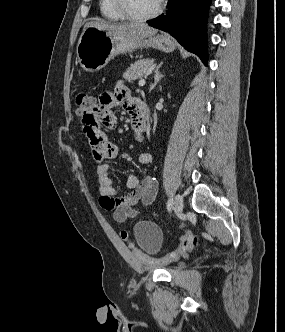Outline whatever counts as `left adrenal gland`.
<instances>
[{"instance_id":"left-adrenal-gland-1","label":"left adrenal gland","mask_w":285,"mask_h":332,"mask_svg":"<svg viewBox=\"0 0 285 332\" xmlns=\"http://www.w3.org/2000/svg\"><path fill=\"white\" fill-rule=\"evenodd\" d=\"M163 62H161L155 69L154 71V76H153V80L154 82L151 84L150 86V91L157 85V83L159 82V80L163 77V75L160 73L159 69L161 67Z\"/></svg>"}]
</instances>
